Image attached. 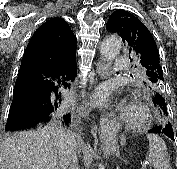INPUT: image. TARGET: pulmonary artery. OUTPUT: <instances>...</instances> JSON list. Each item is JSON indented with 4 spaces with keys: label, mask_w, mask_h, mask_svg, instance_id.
Returning a JSON list of instances; mask_svg holds the SVG:
<instances>
[{
    "label": "pulmonary artery",
    "mask_w": 177,
    "mask_h": 169,
    "mask_svg": "<svg viewBox=\"0 0 177 169\" xmlns=\"http://www.w3.org/2000/svg\"><path fill=\"white\" fill-rule=\"evenodd\" d=\"M114 65L116 68H127L128 62L124 58L118 57L115 59Z\"/></svg>",
    "instance_id": "1"
}]
</instances>
